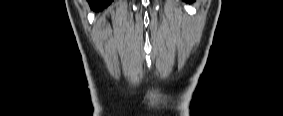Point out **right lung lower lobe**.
<instances>
[{"label": "right lung lower lobe", "mask_w": 283, "mask_h": 116, "mask_svg": "<svg viewBox=\"0 0 283 116\" xmlns=\"http://www.w3.org/2000/svg\"><path fill=\"white\" fill-rule=\"evenodd\" d=\"M88 2L94 10H102L104 7H107L112 0H88Z\"/></svg>", "instance_id": "obj_1"}]
</instances>
